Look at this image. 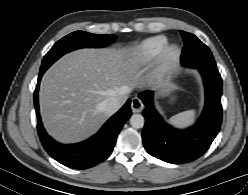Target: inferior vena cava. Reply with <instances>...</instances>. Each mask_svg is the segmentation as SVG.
Returning <instances> with one entry per match:
<instances>
[{
    "mask_svg": "<svg viewBox=\"0 0 248 195\" xmlns=\"http://www.w3.org/2000/svg\"><path fill=\"white\" fill-rule=\"evenodd\" d=\"M98 108L106 114L111 115L120 108V100L115 96H110L100 102Z\"/></svg>",
    "mask_w": 248,
    "mask_h": 195,
    "instance_id": "1",
    "label": "inferior vena cava"
}]
</instances>
